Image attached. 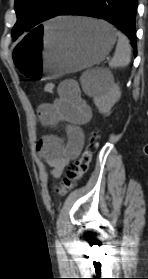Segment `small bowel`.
<instances>
[{"label": "small bowel", "mask_w": 148, "mask_h": 279, "mask_svg": "<svg viewBox=\"0 0 148 279\" xmlns=\"http://www.w3.org/2000/svg\"><path fill=\"white\" fill-rule=\"evenodd\" d=\"M37 113L45 126L65 125V140L48 134L37 144V152L50 167L51 177L59 178L68 162L80 152L84 139L81 126L90 121L91 109L82 99L78 83L64 80L58 87V97L53 102L39 105Z\"/></svg>", "instance_id": "c3829d8e"}]
</instances>
